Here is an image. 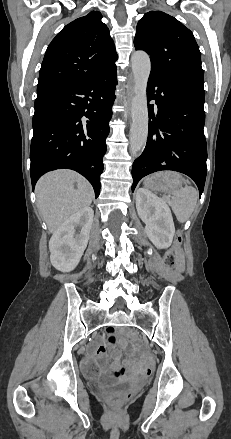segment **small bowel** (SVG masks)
<instances>
[{"label":"small bowel","mask_w":231,"mask_h":439,"mask_svg":"<svg viewBox=\"0 0 231 439\" xmlns=\"http://www.w3.org/2000/svg\"><path fill=\"white\" fill-rule=\"evenodd\" d=\"M109 342H110V344H114L116 342V337L114 335H111L109 337ZM105 354H106V347L101 345L93 353V358L98 360L101 364H104V362H105ZM120 366H121L120 354L116 352L114 354V361H113L112 367L109 368L108 370H104V373L114 374L117 371L122 372L123 369L120 368ZM137 371L140 372V373H147L148 372V366L147 365H139L137 367Z\"/></svg>","instance_id":"c3829d8e"}]
</instances>
